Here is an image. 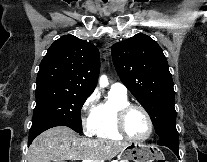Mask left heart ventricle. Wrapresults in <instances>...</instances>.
Returning a JSON list of instances; mask_svg holds the SVG:
<instances>
[{
    "label": "left heart ventricle",
    "instance_id": "obj_1",
    "mask_svg": "<svg viewBox=\"0 0 207 162\" xmlns=\"http://www.w3.org/2000/svg\"><path fill=\"white\" fill-rule=\"evenodd\" d=\"M125 127L127 132L135 138L144 137L149 128L145 115L138 109H134L128 114Z\"/></svg>",
    "mask_w": 207,
    "mask_h": 162
}]
</instances>
